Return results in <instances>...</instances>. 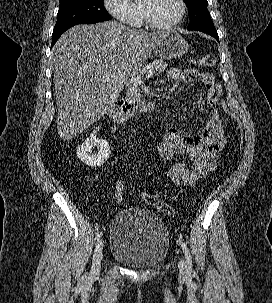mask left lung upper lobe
Masks as SVG:
<instances>
[{"mask_svg":"<svg viewBox=\"0 0 272 303\" xmlns=\"http://www.w3.org/2000/svg\"><path fill=\"white\" fill-rule=\"evenodd\" d=\"M184 2L188 7L190 17L188 30L200 31L215 28L207 9V0H184Z\"/></svg>","mask_w":272,"mask_h":303,"instance_id":"obj_1","label":"left lung upper lobe"}]
</instances>
